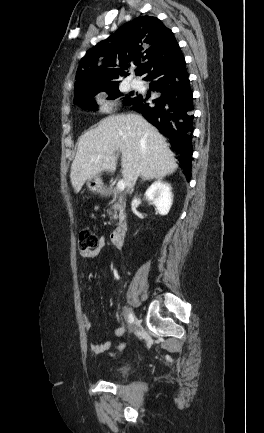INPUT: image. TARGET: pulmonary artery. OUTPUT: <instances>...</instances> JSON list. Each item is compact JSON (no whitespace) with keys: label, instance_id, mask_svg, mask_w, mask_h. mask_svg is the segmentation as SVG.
<instances>
[{"label":"pulmonary artery","instance_id":"e3ab8cb5","mask_svg":"<svg viewBox=\"0 0 264 433\" xmlns=\"http://www.w3.org/2000/svg\"><path fill=\"white\" fill-rule=\"evenodd\" d=\"M131 86L135 89H141L143 87L142 83L138 80L131 81Z\"/></svg>","mask_w":264,"mask_h":433}]
</instances>
